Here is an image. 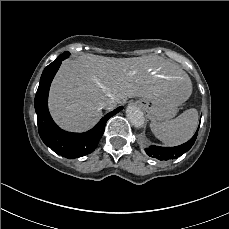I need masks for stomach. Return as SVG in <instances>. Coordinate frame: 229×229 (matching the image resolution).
<instances>
[{
    "mask_svg": "<svg viewBox=\"0 0 229 229\" xmlns=\"http://www.w3.org/2000/svg\"><path fill=\"white\" fill-rule=\"evenodd\" d=\"M190 95V94H189ZM188 96H183L180 100L169 101L166 97L157 99H139L137 107L142 109L147 118L152 121H168L175 117L180 103L186 101Z\"/></svg>",
    "mask_w": 229,
    "mask_h": 229,
    "instance_id": "0dacf381",
    "label": "stomach"
}]
</instances>
